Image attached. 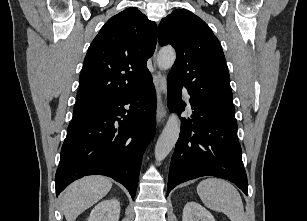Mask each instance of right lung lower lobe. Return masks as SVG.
Wrapping results in <instances>:
<instances>
[{
    "mask_svg": "<svg viewBox=\"0 0 307 221\" xmlns=\"http://www.w3.org/2000/svg\"><path fill=\"white\" fill-rule=\"evenodd\" d=\"M126 104L129 109L124 108ZM155 123L156 94L151 75L137 91L72 121L56 171V195L76 179L100 174L123 184L134 198L142 156L155 134Z\"/></svg>",
    "mask_w": 307,
    "mask_h": 221,
    "instance_id": "1",
    "label": "right lung lower lobe"
}]
</instances>
